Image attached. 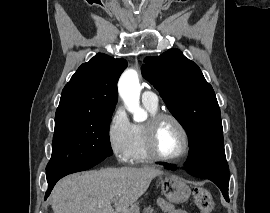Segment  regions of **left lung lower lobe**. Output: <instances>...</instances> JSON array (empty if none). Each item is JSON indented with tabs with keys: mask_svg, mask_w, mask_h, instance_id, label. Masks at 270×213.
I'll use <instances>...</instances> for the list:
<instances>
[{
	"mask_svg": "<svg viewBox=\"0 0 270 213\" xmlns=\"http://www.w3.org/2000/svg\"><path fill=\"white\" fill-rule=\"evenodd\" d=\"M167 168L168 169H174V168H171V167H167ZM185 169L187 170V172L190 175L202 178V175H201V173L199 172V169H198V165L190 157L187 158V162L185 164ZM211 181L214 182L220 188V190L222 191L223 196L225 197V199L227 201H229V197H228L229 182L223 183V182H219V181H216V180H211Z\"/></svg>",
	"mask_w": 270,
	"mask_h": 213,
	"instance_id": "0a47b994",
	"label": "left lung lower lobe"
}]
</instances>
